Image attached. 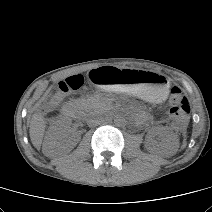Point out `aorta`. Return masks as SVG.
Returning <instances> with one entry per match:
<instances>
[{"label": "aorta", "mask_w": 212, "mask_h": 212, "mask_svg": "<svg viewBox=\"0 0 212 212\" xmlns=\"http://www.w3.org/2000/svg\"><path fill=\"white\" fill-rule=\"evenodd\" d=\"M114 123L116 126H123L126 123V120L122 116H118L114 119Z\"/></svg>", "instance_id": "762f6f07"}]
</instances>
